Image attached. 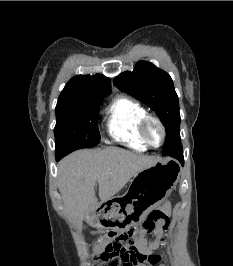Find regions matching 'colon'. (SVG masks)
Instances as JSON below:
<instances>
[{
    "mask_svg": "<svg viewBox=\"0 0 233 266\" xmlns=\"http://www.w3.org/2000/svg\"><path fill=\"white\" fill-rule=\"evenodd\" d=\"M168 216L161 210H153L142 224L146 233L152 232L158 224L168 226ZM134 228L131 232H112L105 234L101 241L105 242L104 256L109 260H119L123 266H137L143 263L145 256L140 254L133 239Z\"/></svg>",
    "mask_w": 233,
    "mask_h": 266,
    "instance_id": "colon-1",
    "label": "colon"
}]
</instances>
